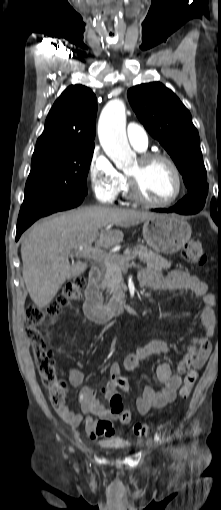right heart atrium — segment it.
<instances>
[{"label":"right heart atrium","instance_id":"1","mask_svg":"<svg viewBox=\"0 0 221 510\" xmlns=\"http://www.w3.org/2000/svg\"><path fill=\"white\" fill-rule=\"evenodd\" d=\"M89 179L96 198L105 204H112L116 200L125 183L124 176L98 148L91 156Z\"/></svg>","mask_w":221,"mask_h":510}]
</instances>
